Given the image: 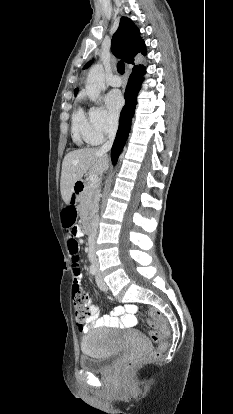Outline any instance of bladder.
Listing matches in <instances>:
<instances>
[{
  "mask_svg": "<svg viewBox=\"0 0 233 414\" xmlns=\"http://www.w3.org/2000/svg\"><path fill=\"white\" fill-rule=\"evenodd\" d=\"M131 332L142 346L146 348L149 346L148 340L142 334L134 330ZM115 340L113 332L104 329L89 331L81 342L80 368L88 372H102L109 369L121 352Z\"/></svg>",
  "mask_w": 233,
  "mask_h": 414,
  "instance_id": "1",
  "label": "bladder"
}]
</instances>
